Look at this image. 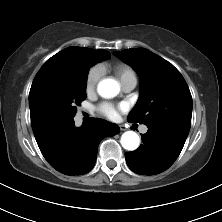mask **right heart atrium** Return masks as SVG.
<instances>
[{"label": "right heart atrium", "mask_w": 222, "mask_h": 222, "mask_svg": "<svg viewBox=\"0 0 222 222\" xmlns=\"http://www.w3.org/2000/svg\"><path fill=\"white\" fill-rule=\"evenodd\" d=\"M102 76V71L99 66H93L89 69L86 75L85 87L87 92H93Z\"/></svg>", "instance_id": "obj_1"}]
</instances>
